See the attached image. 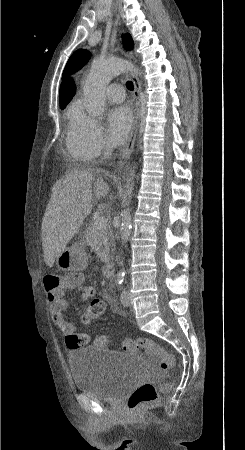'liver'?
<instances>
[{
  "instance_id": "1",
  "label": "liver",
  "mask_w": 245,
  "mask_h": 450,
  "mask_svg": "<svg viewBox=\"0 0 245 450\" xmlns=\"http://www.w3.org/2000/svg\"><path fill=\"white\" fill-rule=\"evenodd\" d=\"M95 174L90 169H74L52 188L41 226L44 260L50 268L91 213L93 192L96 200L109 192L102 177L96 179L92 190Z\"/></svg>"
}]
</instances>
